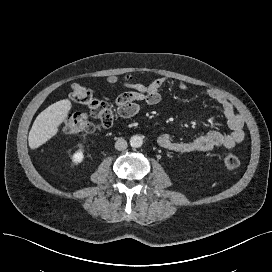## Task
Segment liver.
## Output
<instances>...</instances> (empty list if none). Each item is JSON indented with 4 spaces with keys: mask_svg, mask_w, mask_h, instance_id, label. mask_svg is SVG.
<instances>
[{
    "mask_svg": "<svg viewBox=\"0 0 272 272\" xmlns=\"http://www.w3.org/2000/svg\"><path fill=\"white\" fill-rule=\"evenodd\" d=\"M72 103L63 99L51 104L35 119L29 132L28 142L31 149H36L45 144L58 132V127L65 121Z\"/></svg>",
    "mask_w": 272,
    "mask_h": 272,
    "instance_id": "1",
    "label": "liver"
}]
</instances>
